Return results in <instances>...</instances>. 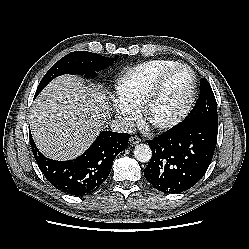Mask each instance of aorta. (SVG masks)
Here are the masks:
<instances>
[{
  "mask_svg": "<svg viewBox=\"0 0 249 249\" xmlns=\"http://www.w3.org/2000/svg\"><path fill=\"white\" fill-rule=\"evenodd\" d=\"M134 157L137 161L146 163L149 162L152 157L151 148L147 144H137L133 150Z\"/></svg>",
  "mask_w": 249,
  "mask_h": 249,
  "instance_id": "1",
  "label": "aorta"
}]
</instances>
